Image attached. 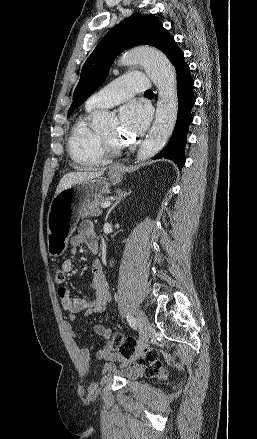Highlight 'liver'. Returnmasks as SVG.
Here are the masks:
<instances>
[{
    "label": "liver",
    "instance_id": "obj_1",
    "mask_svg": "<svg viewBox=\"0 0 257 439\" xmlns=\"http://www.w3.org/2000/svg\"><path fill=\"white\" fill-rule=\"evenodd\" d=\"M103 174H104V170L67 173L61 178L58 187L56 189L55 195H57L58 193H60L61 191H63L64 189L68 188L73 184L91 180L94 178H99Z\"/></svg>",
    "mask_w": 257,
    "mask_h": 439
}]
</instances>
